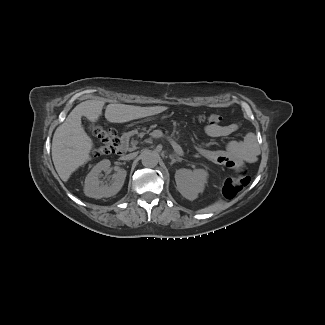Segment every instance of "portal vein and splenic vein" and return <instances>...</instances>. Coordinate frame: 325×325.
<instances>
[{
    "label": "portal vein and splenic vein",
    "mask_w": 325,
    "mask_h": 325,
    "mask_svg": "<svg viewBox=\"0 0 325 325\" xmlns=\"http://www.w3.org/2000/svg\"><path fill=\"white\" fill-rule=\"evenodd\" d=\"M172 143H175V142L172 141ZM175 144H176V143H175ZM177 149H178V151H179L180 153H182V149L180 148V146H178Z\"/></svg>",
    "instance_id": "1"
}]
</instances>
